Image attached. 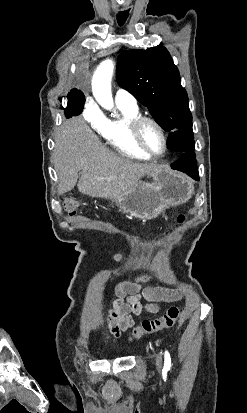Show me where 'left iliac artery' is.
Here are the masks:
<instances>
[{
	"instance_id": "obj_1",
	"label": "left iliac artery",
	"mask_w": 247,
	"mask_h": 413,
	"mask_svg": "<svg viewBox=\"0 0 247 413\" xmlns=\"http://www.w3.org/2000/svg\"><path fill=\"white\" fill-rule=\"evenodd\" d=\"M171 367V357L168 351L164 354V369L169 370Z\"/></svg>"
}]
</instances>
